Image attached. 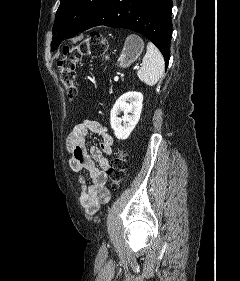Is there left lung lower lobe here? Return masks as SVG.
Listing matches in <instances>:
<instances>
[{
	"label": "left lung lower lobe",
	"instance_id": "obj_1",
	"mask_svg": "<svg viewBox=\"0 0 240 281\" xmlns=\"http://www.w3.org/2000/svg\"><path fill=\"white\" fill-rule=\"evenodd\" d=\"M172 5V0H104L81 31L105 25L141 33L159 48L167 66Z\"/></svg>",
	"mask_w": 240,
	"mask_h": 281
}]
</instances>
